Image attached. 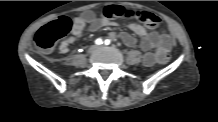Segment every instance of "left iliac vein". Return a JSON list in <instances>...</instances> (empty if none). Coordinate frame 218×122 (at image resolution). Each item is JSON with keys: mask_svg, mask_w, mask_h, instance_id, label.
I'll return each mask as SVG.
<instances>
[{"mask_svg": "<svg viewBox=\"0 0 218 122\" xmlns=\"http://www.w3.org/2000/svg\"><path fill=\"white\" fill-rule=\"evenodd\" d=\"M99 48L101 49V48H103V46H100Z\"/></svg>", "mask_w": 218, "mask_h": 122, "instance_id": "1", "label": "left iliac vein"}]
</instances>
